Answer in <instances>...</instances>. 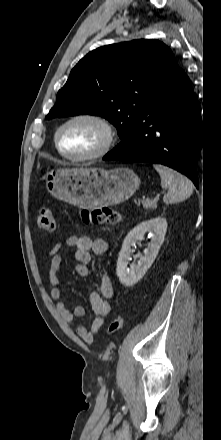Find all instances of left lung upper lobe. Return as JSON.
<instances>
[{"label":"left lung upper lobe","mask_w":221,"mask_h":440,"mask_svg":"<svg viewBox=\"0 0 221 440\" xmlns=\"http://www.w3.org/2000/svg\"><path fill=\"white\" fill-rule=\"evenodd\" d=\"M172 51L157 40L139 39L97 48L72 69L46 119L79 114L111 122L123 150L146 105L177 72Z\"/></svg>","instance_id":"left-lung-upper-lobe-1"}]
</instances>
